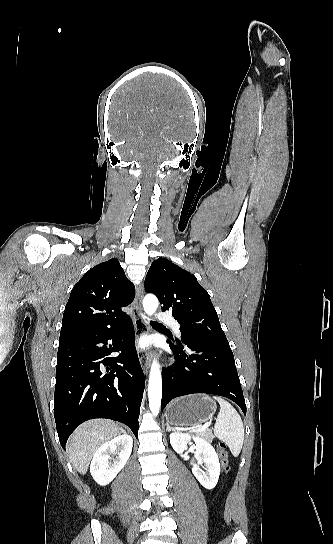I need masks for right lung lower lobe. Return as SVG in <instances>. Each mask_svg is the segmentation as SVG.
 <instances>
[{"label": "right lung lower lobe", "instance_id": "1", "mask_svg": "<svg viewBox=\"0 0 333 544\" xmlns=\"http://www.w3.org/2000/svg\"><path fill=\"white\" fill-rule=\"evenodd\" d=\"M119 351L118 357H106ZM144 386L129 316L117 326L60 342L54 418L61 446L65 449L76 427L93 418L122 422L137 437Z\"/></svg>", "mask_w": 333, "mask_h": 544}]
</instances>
